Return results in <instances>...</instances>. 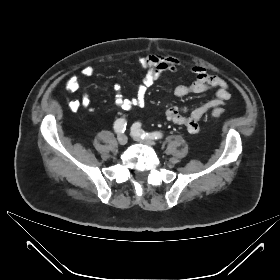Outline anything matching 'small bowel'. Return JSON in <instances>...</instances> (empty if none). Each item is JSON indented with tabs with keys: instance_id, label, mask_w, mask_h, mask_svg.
Masks as SVG:
<instances>
[{
	"instance_id": "c3829d8e",
	"label": "small bowel",
	"mask_w": 280,
	"mask_h": 280,
	"mask_svg": "<svg viewBox=\"0 0 280 280\" xmlns=\"http://www.w3.org/2000/svg\"><path fill=\"white\" fill-rule=\"evenodd\" d=\"M139 63L144 70V75L137 86L136 93L131 98H126L121 94L120 86L116 85L115 104L123 111H130L134 107L144 105L149 87L157 81L164 73H175L181 67V63L169 55L149 54L141 56ZM190 72L195 79L191 84H179L174 89L177 97H184L189 94H200L214 90V98L194 108L187 106H173L166 110V118L179 125L186 127L190 133H198L200 130L199 122L201 118L211 110L220 109L230 99L229 85L221 77L208 73L201 65H194ZM95 69L91 65L82 68L81 74L84 77H92ZM67 87L71 92H77L80 89V80L78 76H70L67 80ZM68 107L76 112L81 109H90L91 103L87 94H83L80 99H72L68 102Z\"/></svg>"
}]
</instances>
